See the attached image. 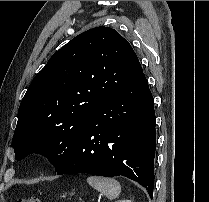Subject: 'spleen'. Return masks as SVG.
Wrapping results in <instances>:
<instances>
[{
	"label": "spleen",
	"mask_w": 209,
	"mask_h": 202,
	"mask_svg": "<svg viewBox=\"0 0 209 202\" xmlns=\"http://www.w3.org/2000/svg\"><path fill=\"white\" fill-rule=\"evenodd\" d=\"M87 183L110 200L115 199L121 193L120 183L113 178L89 176Z\"/></svg>",
	"instance_id": "1"
}]
</instances>
